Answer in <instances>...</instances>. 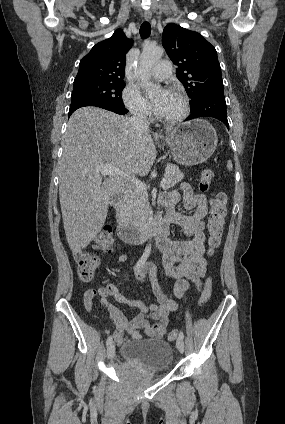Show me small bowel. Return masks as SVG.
<instances>
[{
  "label": "small bowel",
  "mask_w": 285,
  "mask_h": 424,
  "mask_svg": "<svg viewBox=\"0 0 285 424\" xmlns=\"http://www.w3.org/2000/svg\"><path fill=\"white\" fill-rule=\"evenodd\" d=\"M183 198L186 210H195L192 215H184L176 211V206ZM161 205L166 209V220L176 225L186 239L170 240L167 237L158 238V246L164 253L163 267L168 277L175 280L174 293L177 298H183L194 284L197 291L202 290L203 279L207 273L205 254H212L214 249L205 248L204 217L208 212V204L203 194L195 193L187 184H182L161 198ZM127 254L119 257L120 262L126 261ZM149 273L152 291L157 303H145L132 299L124 294L115 283H110L98 289L88 288L84 292V306L88 312L94 310V299H100V305L110 317L114 327V339L120 344L127 336L139 339L141 332L150 338L162 339L166 336L170 325L169 315L176 310L177 304L168 298L158 283L155 266L152 263L143 264L134 273L135 278L145 283ZM127 306L136 307L139 314L128 320L122 311L114 306L109 298ZM147 318L154 320L150 324Z\"/></svg>",
  "instance_id": "obj_1"
}]
</instances>
